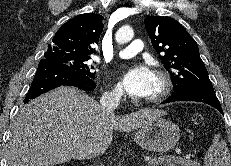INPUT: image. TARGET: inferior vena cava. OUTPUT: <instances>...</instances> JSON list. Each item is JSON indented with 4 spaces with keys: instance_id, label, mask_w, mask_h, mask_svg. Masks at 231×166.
I'll return each instance as SVG.
<instances>
[{
    "instance_id": "inferior-vena-cava-1",
    "label": "inferior vena cava",
    "mask_w": 231,
    "mask_h": 166,
    "mask_svg": "<svg viewBox=\"0 0 231 166\" xmlns=\"http://www.w3.org/2000/svg\"><path fill=\"white\" fill-rule=\"evenodd\" d=\"M120 98L121 95L118 92L103 95L100 99L101 108L108 113H113L118 106Z\"/></svg>"
}]
</instances>
